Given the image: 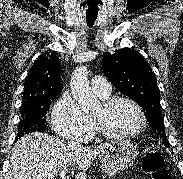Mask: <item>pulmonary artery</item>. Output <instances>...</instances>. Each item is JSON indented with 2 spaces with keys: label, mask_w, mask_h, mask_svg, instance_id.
<instances>
[{
  "label": "pulmonary artery",
  "mask_w": 183,
  "mask_h": 179,
  "mask_svg": "<svg viewBox=\"0 0 183 179\" xmlns=\"http://www.w3.org/2000/svg\"><path fill=\"white\" fill-rule=\"evenodd\" d=\"M91 87L92 90L98 95L107 96L111 93L110 83L101 76H95L92 78Z\"/></svg>",
  "instance_id": "pulmonary-artery-1"
}]
</instances>
